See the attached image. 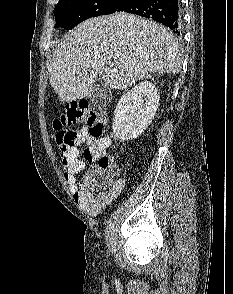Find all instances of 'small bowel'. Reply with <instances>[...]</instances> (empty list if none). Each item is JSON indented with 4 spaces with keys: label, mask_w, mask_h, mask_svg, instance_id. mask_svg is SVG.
<instances>
[{
    "label": "small bowel",
    "mask_w": 233,
    "mask_h": 294,
    "mask_svg": "<svg viewBox=\"0 0 233 294\" xmlns=\"http://www.w3.org/2000/svg\"><path fill=\"white\" fill-rule=\"evenodd\" d=\"M73 133L75 135L74 145L66 157L62 159L61 164L64 179L70 186L76 188V176L85 169L86 162H94L98 156L102 155L110 147L111 142L106 136L93 137L85 127L74 130ZM84 144H87L88 147L84 150V159H81L80 149ZM124 185V180L116 179L112 181L109 188L96 193H83L78 186L75 198L90 215H97L120 195Z\"/></svg>",
    "instance_id": "1"
}]
</instances>
